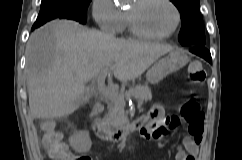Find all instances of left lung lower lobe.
Returning <instances> with one entry per match:
<instances>
[{
    "instance_id": "left-lung-lower-lobe-1",
    "label": "left lung lower lobe",
    "mask_w": 242,
    "mask_h": 160,
    "mask_svg": "<svg viewBox=\"0 0 242 160\" xmlns=\"http://www.w3.org/2000/svg\"><path fill=\"white\" fill-rule=\"evenodd\" d=\"M190 51L202 58H204L206 61L210 62L212 61L211 59V54L210 52L205 48L204 45H195L190 47Z\"/></svg>"
}]
</instances>
